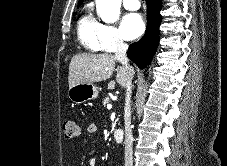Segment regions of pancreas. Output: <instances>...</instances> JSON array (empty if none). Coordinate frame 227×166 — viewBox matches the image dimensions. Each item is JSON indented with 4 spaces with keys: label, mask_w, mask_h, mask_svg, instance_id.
Returning a JSON list of instances; mask_svg holds the SVG:
<instances>
[{
    "label": "pancreas",
    "mask_w": 227,
    "mask_h": 166,
    "mask_svg": "<svg viewBox=\"0 0 227 166\" xmlns=\"http://www.w3.org/2000/svg\"><path fill=\"white\" fill-rule=\"evenodd\" d=\"M109 97H105L104 101H103V105L106 106L109 103Z\"/></svg>",
    "instance_id": "pancreas-1"
}]
</instances>
